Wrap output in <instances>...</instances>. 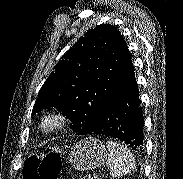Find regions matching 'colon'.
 <instances>
[{"mask_svg":"<svg viewBox=\"0 0 183 179\" xmlns=\"http://www.w3.org/2000/svg\"><path fill=\"white\" fill-rule=\"evenodd\" d=\"M61 156L57 149L44 150L40 155L32 154L23 168L24 179H57L61 171Z\"/></svg>","mask_w":183,"mask_h":179,"instance_id":"1","label":"colon"}]
</instances>
